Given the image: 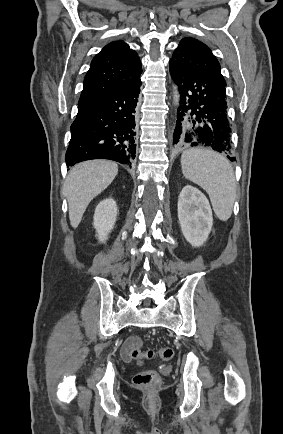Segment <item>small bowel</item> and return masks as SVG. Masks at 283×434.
Returning a JSON list of instances; mask_svg holds the SVG:
<instances>
[{"mask_svg": "<svg viewBox=\"0 0 283 434\" xmlns=\"http://www.w3.org/2000/svg\"><path fill=\"white\" fill-rule=\"evenodd\" d=\"M139 344H140V340H139V338H138L137 336H132V337H130V338L125 342V344H124L123 347H122V355H123V357H124L125 359H127V360H131V357H130V355H129L130 348H131L132 346L139 345Z\"/></svg>", "mask_w": 283, "mask_h": 434, "instance_id": "obj_1", "label": "small bowel"}]
</instances>
